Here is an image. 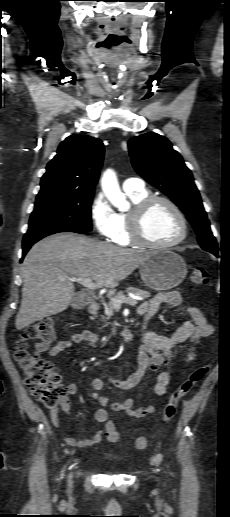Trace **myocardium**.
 <instances>
[{
	"label": "myocardium",
	"instance_id": "obj_1",
	"mask_svg": "<svg viewBox=\"0 0 230 517\" xmlns=\"http://www.w3.org/2000/svg\"><path fill=\"white\" fill-rule=\"evenodd\" d=\"M157 202H162L168 205L178 216L182 231L181 234L173 241L167 243H157L148 239L144 231V220L150 208ZM130 238L134 244L142 247L155 249H168L175 247L182 243L188 235V221L186 216L179 208V206L171 199L165 196L149 195L140 202L134 205V208L129 214Z\"/></svg>",
	"mask_w": 230,
	"mask_h": 517
}]
</instances>
